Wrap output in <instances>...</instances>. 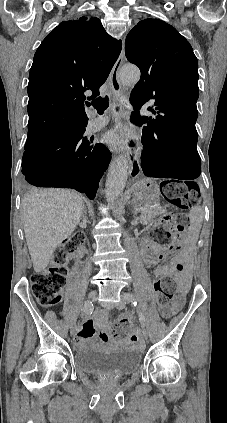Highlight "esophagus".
<instances>
[{
  "instance_id": "34e87169",
  "label": "esophagus",
  "mask_w": 227,
  "mask_h": 423,
  "mask_svg": "<svg viewBox=\"0 0 227 423\" xmlns=\"http://www.w3.org/2000/svg\"><path fill=\"white\" fill-rule=\"evenodd\" d=\"M124 45H125V38L122 39V50H121L120 56L117 62L115 63L114 67L112 68L110 76H109L112 92L115 98L114 105H113V111L115 113L121 112L123 110V106L120 99L123 90L119 80V70L125 57ZM121 141L122 142L124 141L122 144L123 147L126 149L128 148L127 158H128L129 167H130L129 174L132 179L137 178L141 174V166H140L139 154H138L139 138L135 137L133 138V140L122 139Z\"/></svg>"
}]
</instances>
